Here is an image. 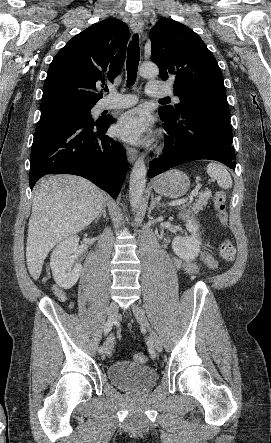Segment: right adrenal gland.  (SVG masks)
<instances>
[{
  "mask_svg": "<svg viewBox=\"0 0 271 443\" xmlns=\"http://www.w3.org/2000/svg\"><path fill=\"white\" fill-rule=\"evenodd\" d=\"M102 216H103V218H107V214H106V204H104V206H103V208H102V210H101L99 216H97V218H96V220H95V223H97L98 220H100V218H102Z\"/></svg>",
  "mask_w": 271,
  "mask_h": 443,
  "instance_id": "2a0ac1e0",
  "label": "right adrenal gland"
}]
</instances>
